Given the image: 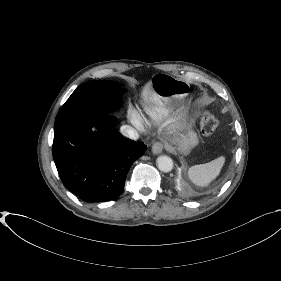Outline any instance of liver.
I'll return each mask as SVG.
<instances>
[{
  "mask_svg": "<svg viewBox=\"0 0 281 281\" xmlns=\"http://www.w3.org/2000/svg\"><path fill=\"white\" fill-rule=\"evenodd\" d=\"M142 97L145 102L150 103V104H159L160 98L158 95L154 92L151 83H148L144 86L143 91H142Z\"/></svg>",
  "mask_w": 281,
  "mask_h": 281,
  "instance_id": "obj_1",
  "label": "liver"
}]
</instances>
